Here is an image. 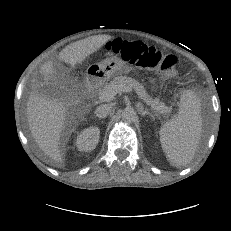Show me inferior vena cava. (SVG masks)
I'll return each mask as SVG.
<instances>
[{"mask_svg": "<svg viewBox=\"0 0 231 231\" xmlns=\"http://www.w3.org/2000/svg\"><path fill=\"white\" fill-rule=\"evenodd\" d=\"M111 109H112V106L110 104L99 105L95 110V115L98 118H105L110 114Z\"/></svg>", "mask_w": 231, "mask_h": 231, "instance_id": "inferior-vena-cava-1", "label": "inferior vena cava"}]
</instances>
